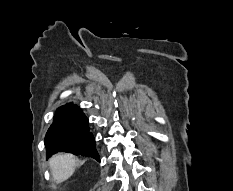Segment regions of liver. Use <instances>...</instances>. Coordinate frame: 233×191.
<instances>
[{"label":"liver","instance_id":"6515ba94","mask_svg":"<svg viewBox=\"0 0 233 191\" xmlns=\"http://www.w3.org/2000/svg\"><path fill=\"white\" fill-rule=\"evenodd\" d=\"M53 180L58 184L67 180L75 171L76 158L72 154L59 153L49 161Z\"/></svg>","mask_w":233,"mask_h":191}]
</instances>
